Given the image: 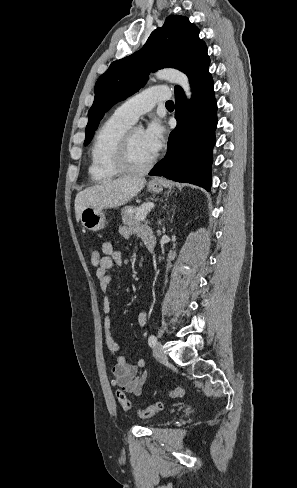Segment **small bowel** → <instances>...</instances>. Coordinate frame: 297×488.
<instances>
[{
    "label": "small bowel",
    "mask_w": 297,
    "mask_h": 488,
    "mask_svg": "<svg viewBox=\"0 0 297 488\" xmlns=\"http://www.w3.org/2000/svg\"><path fill=\"white\" fill-rule=\"evenodd\" d=\"M119 234L123 238H129L131 235L137 236L144 245L148 248L153 246L155 248L156 242L153 233L145 227L135 226H120ZM103 256L99 267L96 270V278L99 283V288L103 293V312L105 315L104 321V337L105 343L110 352L114 366L112 369L113 380L112 386L120 388L124 392L133 395H140L143 391V387L146 382L147 373L145 370V360L140 358L136 363H129L126 354H118L123 349L122 345L115 341L111 330V303L110 298L107 295L109 285L112 281V277L109 271L114 266H120L123 263L122 254L115 249L113 244L109 241H105L101 245ZM147 321V313L141 312L138 315V322L141 326H144Z\"/></svg>",
    "instance_id": "1"
}]
</instances>
